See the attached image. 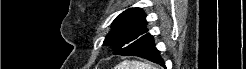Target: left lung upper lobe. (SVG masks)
<instances>
[{"label": "left lung upper lobe", "mask_w": 246, "mask_h": 69, "mask_svg": "<svg viewBox=\"0 0 246 69\" xmlns=\"http://www.w3.org/2000/svg\"><path fill=\"white\" fill-rule=\"evenodd\" d=\"M148 32L146 15L141 8H130L122 12L112 23V29L104 43L121 49Z\"/></svg>", "instance_id": "1"}]
</instances>
